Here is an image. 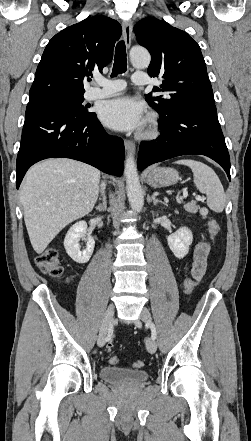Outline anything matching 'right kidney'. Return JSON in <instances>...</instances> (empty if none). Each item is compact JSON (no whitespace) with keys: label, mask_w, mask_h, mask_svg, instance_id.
Returning a JSON list of instances; mask_svg holds the SVG:
<instances>
[{"label":"right kidney","mask_w":251,"mask_h":441,"mask_svg":"<svg viewBox=\"0 0 251 441\" xmlns=\"http://www.w3.org/2000/svg\"><path fill=\"white\" fill-rule=\"evenodd\" d=\"M88 237L86 238V236ZM86 241V248L81 250L79 241ZM95 246V241L92 236L87 234V224L85 221L76 222L68 230L65 239L64 247L67 254L77 263H86L91 258Z\"/></svg>","instance_id":"obj_1"}]
</instances>
